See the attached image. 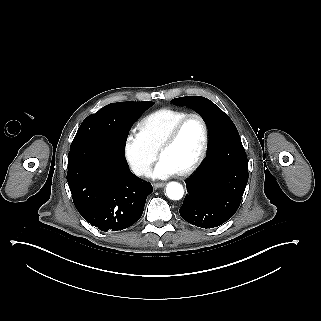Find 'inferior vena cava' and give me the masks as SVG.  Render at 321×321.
<instances>
[{
	"instance_id": "1",
	"label": "inferior vena cava",
	"mask_w": 321,
	"mask_h": 321,
	"mask_svg": "<svg viewBox=\"0 0 321 321\" xmlns=\"http://www.w3.org/2000/svg\"><path fill=\"white\" fill-rule=\"evenodd\" d=\"M132 170L136 175H145L146 177H149L152 171L151 167L143 165H135Z\"/></svg>"
}]
</instances>
